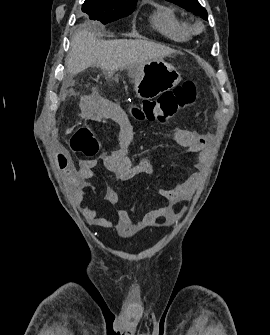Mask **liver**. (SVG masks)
Here are the masks:
<instances>
[{
    "instance_id": "liver-1",
    "label": "liver",
    "mask_w": 270,
    "mask_h": 335,
    "mask_svg": "<svg viewBox=\"0 0 270 335\" xmlns=\"http://www.w3.org/2000/svg\"><path fill=\"white\" fill-rule=\"evenodd\" d=\"M173 52L172 48L148 40H98L94 32L85 28L74 34L65 64L67 72L74 76L92 64H98L105 72L128 68L130 76H135L144 64Z\"/></svg>"
}]
</instances>
